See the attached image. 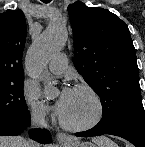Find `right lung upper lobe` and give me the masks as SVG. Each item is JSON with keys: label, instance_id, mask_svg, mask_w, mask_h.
<instances>
[{"label": "right lung upper lobe", "instance_id": "1", "mask_svg": "<svg viewBox=\"0 0 145 147\" xmlns=\"http://www.w3.org/2000/svg\"><path fill=\"white\" fill-rule=\"evenodd\" d=\"M26 33V20L21 10L0 14V82L24 76L22 54Z\"/></svg>", "mask_w": 145, "mask_h": 147}]
</instances>
